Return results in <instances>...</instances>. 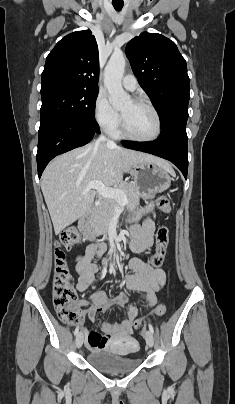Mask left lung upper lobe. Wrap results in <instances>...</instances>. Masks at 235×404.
<instances>
[{"mask_svg": "<svg viewBox=\"0 0 235 404\" xmlns=\"http://www.w3.org/2000/svg\"><path fill=\"white\" fill-rule=\"evenodd\" d=\"M125 51L140 86L160 115L162 131L186 127L189 77L176 44L161 34L143 32L128 42Z\"/></svg>", "mask_w": 235, "mask_h": 404, "instance_id": "left-lung-upper-lobe-1", "label": "left lung upper lobe"}]
</instances>
